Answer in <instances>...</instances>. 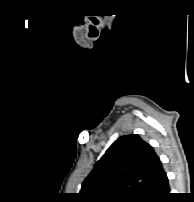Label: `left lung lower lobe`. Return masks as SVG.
<instances>
[{
	"mask_svg": "<svg viewBox=\"0 0 194 202\" xmlns=\"http://www.w3.org/2000/svg\"><path fill=\"white\" fill-rule=\"evenodd\" d=\"M170 197V189L166 173L162 176L160 185L156 191V195L151 202H166Z\"/></svg>",
	"mask_w": 194,
	"mask_h": 202,
	"instance_id": "0a47b994",
	"label": "left lung lower lobe"
}]
</instances>
